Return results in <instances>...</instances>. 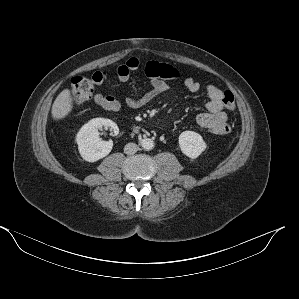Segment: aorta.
Instances as JSON below:
<instances>
[{"label":"aorta","instance_id":"aorta-1","mask_svg":"<svg viewBox=\"0 0 299 299\" xmlns=\"http://www.w3.org/2000/svg\"><path fill=\"white\" fill-rule=\"evenodd\" d=\"M141 145L145 150H151L154 148V141L150 138H144L141 141Z\"/></svg>","mask_w":299,"mask_h":299}]
</instances>
